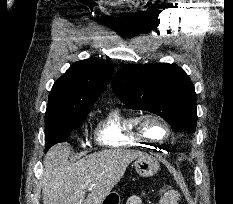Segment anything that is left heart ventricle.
<instances>
[{
    "label": "left heart ventricle",
    "instance_id": "obj_1",
    "mask_svg": "<svg viewBox=\"0 0 233 204\" xmlns=\"http://www.w3.org/2000/svg\"><path fill=\"white\" fill-rule=\"evenodd\" d=\"M146 131L153 137L162 138L165 135L164 127L155 121H148L145 125Z\"/></svg>",
    "mask_w": 233,
    "mask_h": 204
}]
</instances>
